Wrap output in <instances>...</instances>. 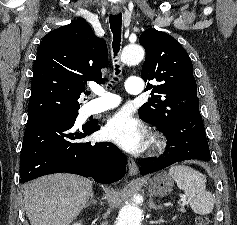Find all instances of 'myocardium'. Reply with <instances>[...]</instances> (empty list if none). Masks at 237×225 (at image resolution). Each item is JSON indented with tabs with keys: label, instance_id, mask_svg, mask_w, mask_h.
<instances>
[{
	"label": "myocardium",
	"instance_id": "obj_1",
	"mask_svg": "<svg viewBox=\"0 0 237 225\" xmlns=\"http://www.w3.org/2000/svg\"><path fill=\"white\" fill-rule=\"evenodd\" d=\"M149 150L151 153H161L165 150L167 142L159 132H153L149 139Z\"/></svg>",
	"mask_w": 237,
	"mask_h": 225
}]
</instances>
